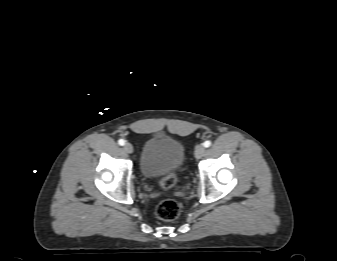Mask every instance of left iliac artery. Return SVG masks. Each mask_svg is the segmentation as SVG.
<instances>
[{"label": "left iliac artery", "instance_id": "obj_1", "mask_svg": "<svg viewBox=\"0 0 337 261\" xmlns=\"http://www.w3.org/2000/svg\"><path fill=\"white\" fill-rule=\"evenodd\" d=\"M203 145H204V147H209L210 145H211V142L210 141H205L204 143H203Z\"/></svg>", "mask_w": 337, "mask_h": 261}]
</instances>
